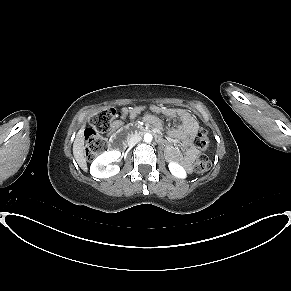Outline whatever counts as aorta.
<instances>
[{
    "instance_id": "aorta-1",
    "label": "aorta",
    "mask_w": 291,
    "mask_h": 291,
    "mask_svg": "<svg viewBox=\"0 0 291 291\" xmlns=\"http://www.w3.org/2000/svg\"><path fill=\"white\" fill-rule=\"evenodd\" d=\"M152 139H153L152 134H150V133H146V134L144 135V141H145L146 143H150V142L152 141Z\"/></svg>"
}]
</instances>
